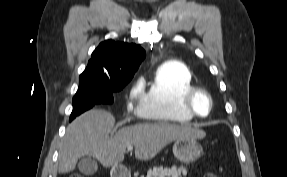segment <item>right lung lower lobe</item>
Returning a JSON list of instances; mask_svg holds the SVG:
<instances>
[{"instance_id": "obj_1", "label": "right lung lower lobe", "mask_w": 287, "mask_h": 177, "mask_svg": "<svg viewBox=\"0 0 287 177\" xmlns=\"http://www.w3.org/2000/svg\"><path fill=\"white\" fill-rule=\"evenodd\" d=\"M94 105H96V104H94V103L79 104V105L74 106L72 112H75V113H76V115H75V117H76V116L80 115L81 113H83V112L89 110V109L92 108ZM75 117H74V118H75ZM74 118H73V119H74ZM71 120H72V118H70V121H71Z\"/></svg>"}]
</instances>
